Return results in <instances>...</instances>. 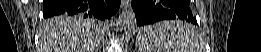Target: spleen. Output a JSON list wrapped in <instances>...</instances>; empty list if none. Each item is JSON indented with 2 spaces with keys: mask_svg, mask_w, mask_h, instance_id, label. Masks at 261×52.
<instances>
[{
  "mask_svg": "<svg viewBox=\"0 0 261 52\" xmlns=\"http://www.w3.org/2000/svg\"><path fill=\"white\" fill-rule=\"evenodd\" d=\"M137 44L140 52H201L202 47L194 27L181 21H164L144 28L137 35Z\"/></svg>",
  "mask_w": 261,
  "mask_h": 52,
  "instance_id": "obj_1",
  "label": "spleen"
}]
</instances>
